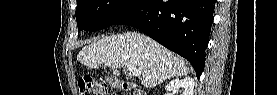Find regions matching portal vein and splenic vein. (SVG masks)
<instances>
[{
  "label": "portal vein and splenic vein",
  "mask_w": 277,
  "mask_h": 95,
  "mask_svg": "<svg viewBox=\"0 0 277 95\" xmlns=\"http://www.w3.org/2000/svg\"><path fill=\"white\" fill-rule=\"evenodd\" d=\"M106 65H109V63H107ZM127 69L133 76H140L141 75V71H139L136 67H134L132 65H128Z\"/></svg>",
  "instance_id": "18ae733b"
}]
</instances>
